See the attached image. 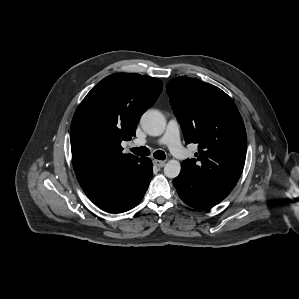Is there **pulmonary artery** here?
I'll return each mask as SVG.
<instances>
[{
    "mask_svg": "<svg viewBox=\"0 0 299 299\" xmlns=\"http://www.w3.org/2000/svg\"><path fill=\"white\" fill-rule=\"evenodd\" d=\"M157 142L167 145L171 153L177 158H183L186 154L180 142L179 125L175 119L168 122L164 135ZM146 144L147 140L145 139H136L132 143L133 146H143Z\"/></svg>",
    "mask_w": 299,
    "mask_h": 299,
    "instance_id": "e3ab8cb5",
    "label": "pulmonary artery"
}]
</instances>
